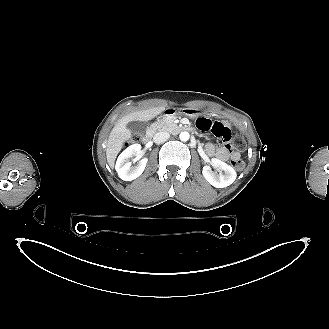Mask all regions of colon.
Here are the masks:
<instances>
[{
	"mask_svg": "<svg viewBox=\"0 0 329 329\" xmlns=\"http://www.w3.org/2000/svg\"><path fill=\"white\" fill-rule=\"evenodd\" d=\"M138 139H139V136H137V135H135L133 137V141H136ZM230 144H232L235 148L240 149V150H243L246 147V141L240 135L232 137V140L228 145H230ZM231 164L234 167V169H236V170H242L244 168V162L241 159H232Z\"/></svg>",
	"mask_w": 329,
	"mask_h": 329,
	"instance_id": "obj_1",
	"label": "colon"
}]
</instances>
